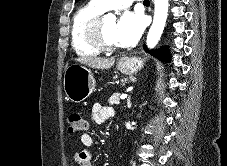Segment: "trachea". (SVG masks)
Here are the masks:
<instances>
[{
    "mask_svg": "<svg viewBox=\"0 0 227 166\" xmlns=\"http://www.w3.org/2000/svg\"><path fill=\"white\" fill-rule=\"evenodd\" d=\"M144 4H150L149 0H144Z\"/></svg>",
    "mask_w": 227,
    "mask_h": 166,
    "instance_id": "trachea-1",
    "label": "trachea"
}]
</instances>
